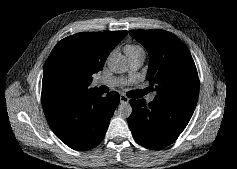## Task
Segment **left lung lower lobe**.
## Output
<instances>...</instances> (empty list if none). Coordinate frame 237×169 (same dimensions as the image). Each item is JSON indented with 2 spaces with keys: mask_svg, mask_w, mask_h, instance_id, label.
<instances>
[{
  "mask_svg": "<svg viewBox=\"0 0 237 169\" xmlns=\"http://www.w3.org/2000/svg\"><path fill=\"white\" fill-rule=\"evenodd\" d=\"M132 114L128 125L134 139L141 145L160 150L173 143L187 126L195 107L178 102L154 99L130 100Z\"/></svg>",
  "mask_w": 237,
  "mask_h": 169,
  "instance_id": "0a47b994",
  "label": "left lung lower lobe"
}]
</instances>
